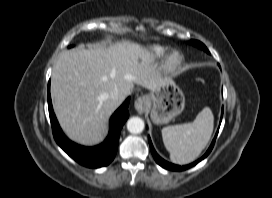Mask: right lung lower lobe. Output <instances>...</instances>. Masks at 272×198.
Listing matches in <instances>:
<instances>
[{
	"label": "right lung lower lobe",
	"instance_id": "98d812e1",
	"mask_svg": "<svg viewBox=\"0 0 272 198\" xmlns=\"http://www.w3.org/2000/svg\"><path fill=\"white\" fill-rule=\"evenodd\" d=\"M129 100L130 98H127L120 108L112 115L110 120V131L106 140L95 147H84L70 141L62 132L53 112L49 83L48 108L55 141L71 158L83 166L98 168L108 165L116 155L121 128L129 117Z\"/></svg>",
	"mask_w": 272,
	"mask_h": 198
}]
</instances>
